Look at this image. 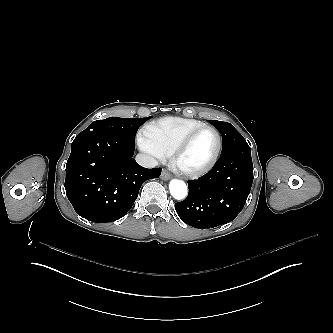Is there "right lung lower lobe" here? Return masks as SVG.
I'll return each mask as SVG.
<instances>
[{"mask_svg": "<svg viewBox=\"0 0 333 333\" xmlns=\"http://www.w3.org/2000/svg\"><path fill=\"white\" fill-rule=\"evenodd\" d=\"M135 141L105 132L79 134L66 164L65 190L75 211L96 223L115 221L133 206L144 181L161 168L147 169L133 158Z\"/></svg>", "mask_w": 333, "mask_h": 333, "instance_id": "obj_1", "label": "right lung lower lobe"}]
</instances>
